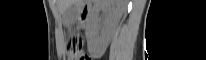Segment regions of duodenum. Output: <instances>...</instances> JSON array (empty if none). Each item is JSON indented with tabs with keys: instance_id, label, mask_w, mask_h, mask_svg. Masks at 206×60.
I'll use <instances>...</instances> for the list:
<instances>
[{
	"instance_id": "1",
	"label": "duodenum",
	"mask_w": 206,
	"mask_h": 60,
	"mask_svg": "<svg viewBox=\"0 0 206 60\" xmlns=\"http://www.w3.org/2000/svg\"><path fill=\"white\" fill-rule=\"evenodd\" d=\"M91 6L88 3H84L80 7V18L82 22H85L90 14Z\"/></svg>"
}]
</instances>
